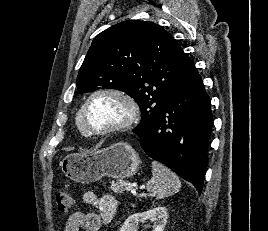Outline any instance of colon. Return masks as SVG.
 <instances>
[{"instance_id":"1","label":"colon","mask_w":268,"mask_h":231,"mask_svg":"<svg viewBox=\"0 0 268 231\" xmlns=\"http://www.w3.org/2000/svg\"><path fill=\"white\" fill-rule=\"evenodd\" d=\"M75 202V196L69 192L61 191L56 196L58 211L63 214L70 212Z\"/></svg>"}]
</instances>
